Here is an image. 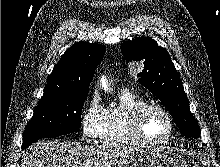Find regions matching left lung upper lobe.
<instances>
[{
    "instance_id": "1",
    "label": "left lung upper lobe",
    "mask_w": 220,
    "mask_h": 167,
    "mask_svg": "<svg viewBox=\"0 0 220 167\" xmlns=\"http://www.w3.org/2000/svg\"><path fill=\"white\" fill-rule=\"evenodd\" d=\"M121 52L127 63H144L139 82L162 101L185 137L198 138L197 120L190 112L180 75L168 52L149 37L122 43Z\"/></svg>"
}]
</instances>
